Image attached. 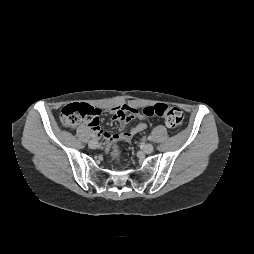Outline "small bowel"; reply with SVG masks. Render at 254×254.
Here are the masks:
<instances>
[{
  "mask_svg": "<svg viewBox=\"0 0 254 254\" xmlns=\"http://www.w3.org/2000/svg\"><path fill=\"white\" fill-rule=\"evenodd\" d=\"M99 113V110H97ZM108 112L112 115L113 119L118 122L119 132L110 133L101 129L99 117L89 125L94 133L102 140L105 145H110L121 140L130 141L133 136L144 131L147 128L145 117L140 114L137 108L127 105L124 102H118L115 106L111 107ZM137 122L125 131L126 125L133 119Z\"/></svg>",
  "mask_w": 254,
  "mask_h": 254,
  "instance_id": "obj_1",
  "label": "small bowel"
}]
</instances>
